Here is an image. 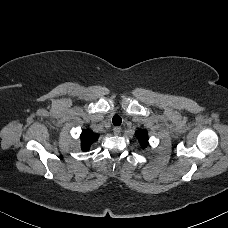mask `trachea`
Instances as JSON below:
<instances>
[{
    "label": "trachea",
    "instance_id": "obj_1",
    "mask_svg": "<svg viewBox=\"0 0 228 228\" xmlns=\"http://www.w3.org/2000/svg\"><path fill=\"white\" fill-rule=\"evenodd\" d=\"M112 123L115 126H119L122 123V118L119 115H115L112 119Z\"/></svg>",
    "mask_w": 228,
    "mask_h": 228
}]
</instances>
